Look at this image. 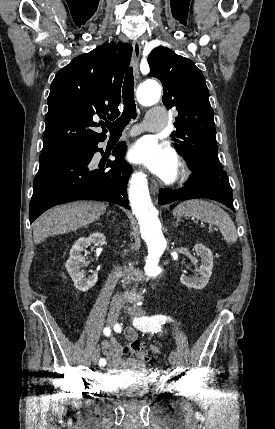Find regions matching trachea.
<instances>
[{
    "mask_svg": "<svg viewBox=\"0 0 275 429\" xmlns=\"http://www.w3.org/2000/svg\"><path fill=\"white\" fill-rule=\"evenodd\" d=\"M124 110L122 115L115 121H106V126L110 133H119L129 124L130 120L136 118V105L134 100V77L133 69L130 67L125 75L123 90H122Z\"/></svg>",
    "mask_w": 275,
    "mask_h": 429,
    "instance_id": "3493384b",
    "label": "trachea"
}]
</instances>
